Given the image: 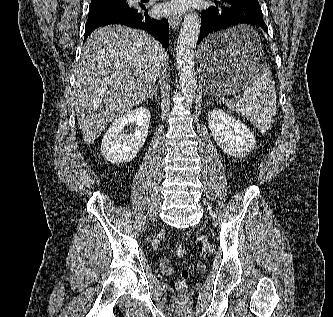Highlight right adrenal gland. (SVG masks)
Instances as JSON below:
<instances>
[{
	"label": "right adrenal gland",
	"mask_w": 333,
	"mask_h": 317,
	"mask_svg": "<svg viewBox=\"0 0 333 317\" xmlns=\"http://www.w3.org/2000/svg\"><path fill=\"white\" fill-rule=\"evenodd\" d=\"M157 89H158V86L157 85H155L154 87H153V90H152V92L147 96V98H153V97H155L156 99H157Z\"/></svg>",
	"instance_id": "obj_1"
}]
</instances>
